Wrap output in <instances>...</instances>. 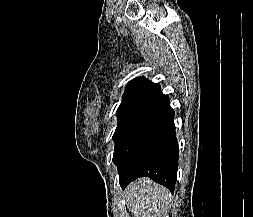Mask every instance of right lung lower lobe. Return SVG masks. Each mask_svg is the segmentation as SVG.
<instances>
[{
	"label": "right lung lower lobe",
	"instance_id": "98d812e1",
	"mask_svg": "<svg viewBox=\"0 0 253 217\" xmlns=\"http://www.w3.org/2000/svg\"><path fill=\"white\" fill-rule=\"evenodd\" d=\"M173 119L169 98L162 95L126 132L113 155L122 188L148 176L174 191L179 148Z\"/></svg>",
	"mask_w": 253,
	"mask_h": 217
}]
</instances>
